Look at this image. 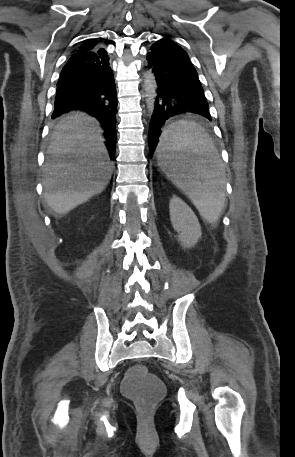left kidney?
Masks as SVG:
<instances>
[{"label":"left kidney","instance_id":"obj_1","mask_svg":"<svg viewBox=\"0 0 295 457\" xmlns=\"http://www.w3.org/2000/svg\"><path fill=\"white\" fill-rule=\"evenodd\" d=\"M170 219L173 228L179 233L178 240L185 248L193 247L201 238V227L190 207L179 197L174 196L169 203Z\"/></svg>","mask_w":295,"mask_h":457}]
</instances>
